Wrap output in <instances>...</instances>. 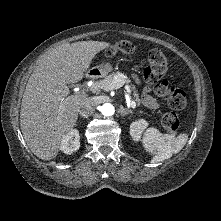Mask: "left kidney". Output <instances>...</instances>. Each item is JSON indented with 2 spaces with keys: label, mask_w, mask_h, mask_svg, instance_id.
<instances>
[{
  "label": "left kidney",
  "mask_w": 221,
  "mask_h": 221,
  "mask_svg": "<svg viewBox=\"0 0 221 221\" xmlns=\"http://www.w3.org/2000/svg\"><path fill=\"white\" fill-rule=\"evenodd\" d=\"M148 123L144 119L134 121L130 125V135L134 141H139L142 132L147 127Z\"/></svg>",
  "instance_id": "5707ae66"
}]
</instances>
